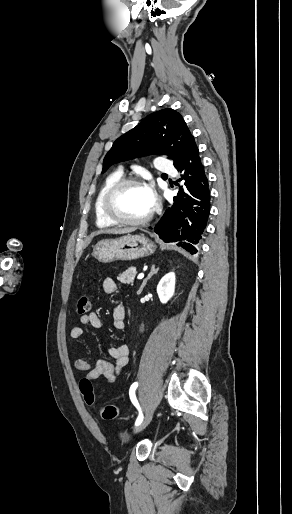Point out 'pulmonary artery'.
Segmentation results:
<instances>
[{
	"instance_id": "obj_1",
	"label": "pulmonary artery",
	"mask_w": 292,
	"mask_h": 514,
	"mask_svg": "<svg viewBox=\"0 0 292 514\" xmlns=\"http://www.w3.org/2000/svg\"><path fill=\"white\" fill-rule=\"evenodd\" d=\"M155 169L158 172H169L171 170V163L169 161H164L162 157H157L155 159ZM120 172H122L121 169Z\"/></svg>"
}]
</instances>
